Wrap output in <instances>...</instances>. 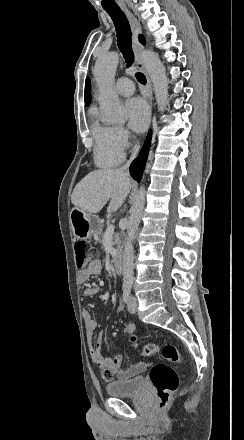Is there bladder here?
I'll return each instance as SVG.
<instances>
[{
    "label": "bladder",
    "instance_id": "bladder-1",
    "mask_svg": "<svg viewBox=\"0 0 244 440\" xmlns=\"http://www.w3.org/2000/svg\"><path fill=\"white\" fill-rule=\"evenodd\" d=\"M145 389L144 377H134L124 381H114L108 383L107 394L116 396H135L140 395Z\"/></svg>",
    "mask_w": 244,
    "mask_h": 440
}]
</instances>
